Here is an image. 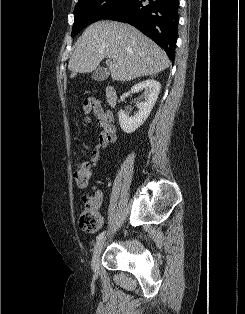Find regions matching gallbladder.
I'll return each instance as SVG.
<instances>
[{"instance_id": "gallbladder-1", "label": "gallbladder", "mask_w": 245, "mask_h": 314, "mask_svg": "<svg viewBox=\"0 0 245 314\" xmlns=\"http://www.w3.org/2000/svg\"><path fill=\"white\" fill-rule=\"evenodd\" d=\"M109 70L105 67H98L95 69V71L92 73V79L94 81H104L109 77Z\"/></svg>"}]
</instances>
